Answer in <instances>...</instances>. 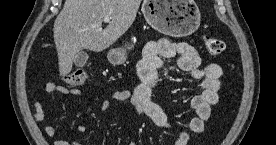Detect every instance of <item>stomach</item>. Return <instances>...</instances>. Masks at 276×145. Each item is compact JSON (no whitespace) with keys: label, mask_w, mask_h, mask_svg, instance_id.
Listing matches in <instances>:
<instances>
[{"label":"stomach","mask_w":276,"mask_h":145,"mask_svg":"<svg viewBox=\"0 0 276 145\" xmlns=\"http://www.w3.org/2000/svg\"><path fill=\"white\" fill-rule=\"evenodd\" d=\"M142 12L149 25L162 34L172 37H184L196 31L200 25L201 14L194 0H144ZM111 49L108 60L122 64L127 58V49Z\"/></svg>","instance_id":"stomach-1"}]
</instances>
